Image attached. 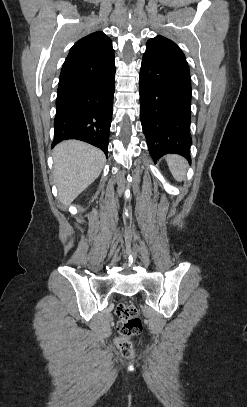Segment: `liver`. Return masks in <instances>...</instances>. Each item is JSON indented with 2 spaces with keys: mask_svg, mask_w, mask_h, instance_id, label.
Here are the masks:
<instances>
[{
  "mask_svg": "<svg viewBox=\"0 0 247 407\" xmlns=\"http://www.w3.org/2000/svg\"><path fill=\"white\" fill-rule=\"evenodd\" d=\"M53 158V179L64 206H69L98 178L105 164L100 149L76 140L59 143L53 150Z\"/></svg>",
  "mask_w": 247,
  "mask_h": 407,
  "instance_id": "liver-1",
  "label": "liver"
}]
</instances>
